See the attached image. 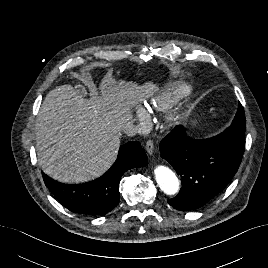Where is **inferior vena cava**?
I'll return each instance as SVG.
<instances>
[{
  "label": "inferior vena cava",
  "instance_id": "1",
  "mask_svg": "<svg viewBox=\"0 0 268 268\" xmlns=\"http://www.w3.org/2000/svg\"><path fill=\"white\" fill-rule=\"evenodd\" d=\"M122 131L128 136H134L138 133V127L132 124H126L123 126Z\"/></svg>",
  "mask_w": 268,
  "mask_h": 268
}]
</instances>
